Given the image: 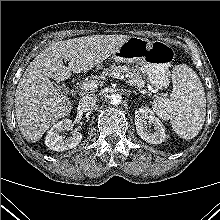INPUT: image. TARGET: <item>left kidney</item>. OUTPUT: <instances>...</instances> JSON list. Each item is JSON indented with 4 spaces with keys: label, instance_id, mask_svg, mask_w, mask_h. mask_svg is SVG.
<instances>
[{
    "label": "left kidney",
    "instance_id": "left-kidney-1",
    "mask_svg": "<svg viewBox=\"0 0 220 220\" xmlns=\"http://www.w3.org/2000/svg\"><path fill=\"white\" fill-rule=\"evenodd\" d=\"M148 124L153 125L154 131L148 129ZM135 125L138 135L148 143L161 144L166 138L163 124L148 107L135 111Z\"/></svg>",
    "mask_w": 220,
    "mask_h": 220
}]
</instances>
